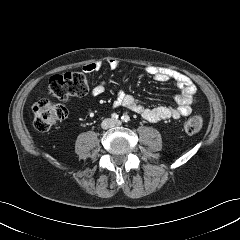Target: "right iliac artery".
I'll use <instances>...</instances> for the list:
<instances>
[{
	"label": "right iliac artery",
	"instance_id": "right-iliac-artery-1",
	"mask_svg": "<svg viewBox=\"0 0 240 240\" xmlns=\"http://www.w3.org/2000/svg\"><path fill=\"white\" fill-rule=\"evenodd\" d=\"M119 118V116L116 114V113H113L112 114V119L113 120H117Z\"/></svg>",
	"mask_w": 240,
	"mask_h": 240
}]
</instances>
